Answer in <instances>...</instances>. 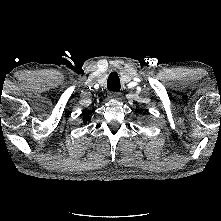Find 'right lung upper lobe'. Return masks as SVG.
Returning <instances> with one entry per match:
<instances>
[{
  "label": "right lung upper lobe",
  "instance_id": "right-lung-upper-lobe-1",
  "mask_svg": "<svg viewBox=\"0 0 221 221\" xmlns=\"http://www.w3.org/2000/svg\"><path fill=\"white\" fill-rule=\"evenodd\" d=\"M88 121H90V117L85 116L83 119V123L86 124Z\"/></svg>",
  "mask_w": 221,
  "mask_h": 221
}]
</instances>
